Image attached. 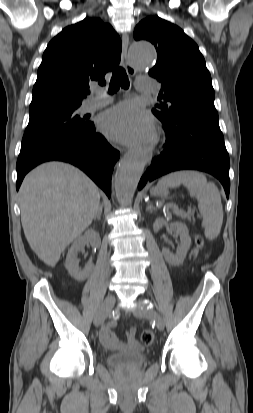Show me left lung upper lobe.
Masks as SVG:
<instances>
[{
  "instance_id": "1",
  "label": "left lung upper lobe",
  "mask_w": 253,
  "mask_h": 413,
  "mask_svg": "<svg viewBox=\"0 0 253 413\" xmlns=\"http://www.w3.org/2000/svg\"><path fill=\"white\" fill-rule=\"evenodd\" d=\"M136 40H148L158 59L149 75L162 83L152 112L166 125L191 116L218 120L215 93L197 44L178 26L158 17L143 19L134 30Z\"/></svg>"
}]
</instances>
